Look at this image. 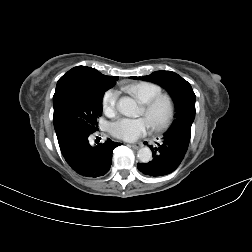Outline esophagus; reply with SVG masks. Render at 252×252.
I'll return each mask as SVG.
<instances>
[{
	"label": "esophagus",
	"mask_w": 252,
	"mask_h": 252,
	"mask_svg": "<svg viewBox=\"0 0 252 252\" xmlns=\"http://www.w3.org/2000/svg\"><path fill=\"white\" fill-rule=\"evenodd\" d=\"M142 146H143L142 143L131 144V147H132L134 150H138V149L141 148Z\"/></svg>",
	"instance_id": "34e87169"
}]
</instances>
